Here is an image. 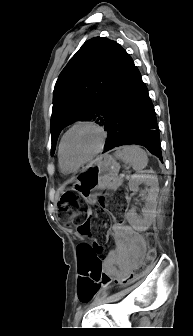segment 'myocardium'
<instances>
[{"mask_svg": "<svg viewBox=\"0 0 193 336\" xmlns=\"http://www.w3.org/2000/svg\"><path fill=\"white\" fill-rule=\"evenodd\" d=\"M80 126H88V127L94 128L95 130H97L99 132L101 139H100V144H99L98 148L90 156L83 159L82 161L73 162V161H70L66 157L65 152H64V145H65V140H66L68 134L71 131H73L74 129H76L77 127H80ZM106 139H107V133H106V131L104 130L103 127H101L99 124H97L94 121L81 120V121H78V122H75L74 124H72L63 134V136L61 138V141H60V145H59V154H60L62 160L67 165H69L71 167H79L82 164L92 160L94 157H96L98 154H100L102 152V150L104 149L105 143H106Z\"/></svg>", "mask_w": 193, "mask_h": 336, "instance_id": "f54148a6", "label": "myocardium"}]
</instances>
